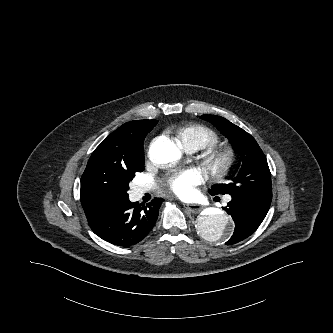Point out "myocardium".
Instances as JSON below:
<instances>
[{"label":"myocardium","mask_w":333,"mask_h":333,"mask_svg":"<svg viewBox=\"0 0 333 333\" xmlns=\"http://www.w3.org/2000/svg\"><path fill=\"white\" fill-rule=\"evenodd\" d=\"M203 165L216 176L228 173L237 162V153L231 147L211 148L202 156Z\"/></svg>","instance_id":"f54148a6"}]
</instances>
